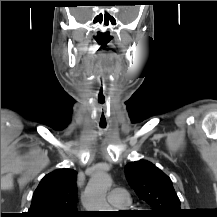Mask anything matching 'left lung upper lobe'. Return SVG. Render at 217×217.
<instances>
[{"label":"left lung upper lobe","instance_id":"5c2ea615","mask_svg":"<svg viewBox=\"0 0 217 217\" xmlns=\"http://www.w3.org/2000/svg\"><path fill=\"white\" fill-rule=\"evenodd\" d=\"M125 175L136 194L153 208L151 217H181L183 211L172 181L154 164L131 162L125 166Z\"/></svg>","mask_w":217,"mask_h":217}]
</instances>
